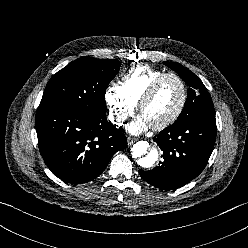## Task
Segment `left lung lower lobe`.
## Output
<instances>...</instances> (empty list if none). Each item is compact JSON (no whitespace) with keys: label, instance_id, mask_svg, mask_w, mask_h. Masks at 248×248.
Returning <instances> with one entry per match:
<instances>
[{"label":"left lung lower lobe","instance_id":"1","mask_svg":"<svg viewBox=\"0 0 248 248\" xmlns=\"http://www.w3.org/2000/svg\"><path fill=\"white\" fill-rule=\"evenodd\" d=\"M216 132L215 116L170 125L154 137L163 151V161L152 170H139V174L162 190L187 184L205 168L214 148Z\"/></svg>","mask_w":248,"mask_h":248}]
</instances>
